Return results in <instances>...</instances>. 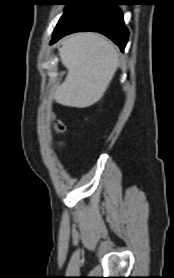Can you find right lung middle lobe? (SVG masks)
Here are the masks:
<instances>
[{
  "label": "right lung middle lobe",
  "mask_w": 174,
  "mask_h": 278,
  "mask_svg": "<svg viewBox=\"0 0 174 278\" xmlns=\"http://www.w3.org/2000/svg\"><path fill=\"white\" fill-rule=\"evenodd\" d=\"M65 4L67 5L65 11H64V14L62 15V17L60 18L57 26H59L65 19L66 17L68 16V14L71 12V10L78 4L76 1L77 0H62ZM56 26V27H57Z\"/></svg>",
  "instance_id": "right-lung-middle-lobe-1"
}]
</instances>
